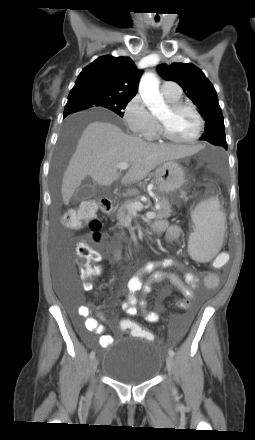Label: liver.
<instances>
[{"label":"liver","mask_w":255,"mask_h":440,"mask_svg":"<svg viewBox=\"0 0 255 440\" xmlns=\"http://www.w3.org/2000/svg\"><path fill=\"white\" fill-rule=\"evenodd\" d=\"M200 146L154 144L126 135L116 125L95 121L84 129L62 181V198L69 203L83 179L90 176L96 183L109 186L120 174L116 165L127 162L130 169L122 179L124 184L144 179L162 163L191 156Z\"/></svg>","instance_id":"1"}]
</instances>
